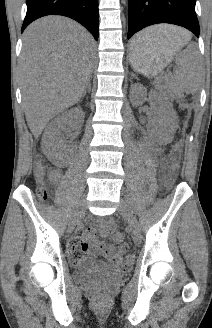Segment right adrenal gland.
I'll return each mask as SVG.
<instances>
[{
	"label": "right adrenal gland",
	"mask_w": 212,
	"mask_h": 328,
	"mask_svg": "<svg viewBox=\"0 0 212 328\" xmlns=\"http://www.w3.org/2000/svg\"><path fill=\"white\" fill-rule=\"evenodd\" d=\"M87 92H91V82L88 83L87 88L83 93V97L86 95Z\"/></svg>",
	"instance_id": "obj_1"
}]
</instances>
